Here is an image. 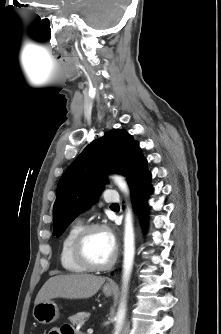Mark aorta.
<instances>
[{"label": "aorta", "mask_w": 221, "mask_h": 334, "mask_svg": "<svg viewBox=\"0 0 221 334\" xmlns=\"http://www.w3.org/2000/svg\"><path fill=\"white\" fill-rule=\"evenodd\" d=\"M114 182L118 185V187L128 196L129 189L127 183L118 176L114 177ZM135 254V246H134V229H133V217L132 211L129 206L126 209V218H125V234H124V260H123V292L124 297L121 305L119 307L117 316H116V330L114 334H119L120 329L123 324L124 316H125V297L128 287V281L130 277V273L133 267V260Z\"/></svg>", "instance_id": "762f6f07"}]
</instances>
